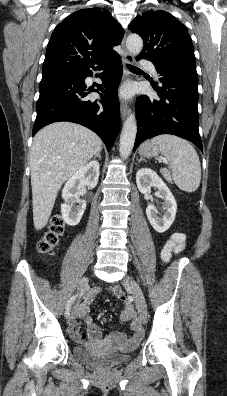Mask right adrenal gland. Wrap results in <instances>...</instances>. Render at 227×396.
I'll use <instances>...</instances> for the list:
<instances>
[{"mask_svg":"<svg viewBox=\"0 0 227 396\" xmlns=\"http://www.w3.org/2000/svg\"><path fill=\"white\" fill-rule=\"evenodd\" d=\"M98 157L99 160H101V155H100V151L98 153H96L95 158Z\"/></svg>","mask_w":227,"mask_h":396,"instance_id":"obj_1","label":"right adrenal gland"}]
</instances>
